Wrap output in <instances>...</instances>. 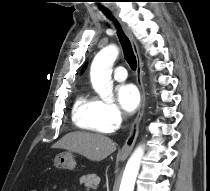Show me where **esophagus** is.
Masks as SVG:
<instances>
[{
	"label": "esophagus",
	"mask_w": 210,
	"mask_h": 191,
	"mask_svg": "<svg viewBox=\"0 0 210 191\" xmlns=\"http://www.w3.org/2000/svg\"><path fill=\"white\" fill-rule=\"evenodd\" d=\"M119 22L121 24V27H122L124 33L129 38L132 48H133V51H134V54L136 56V62H137L136 82H137V85H138V88H139V91L141 94V102H140V108H139L138 114H137L134 122L131 125L130 134H129L125 144L123 145V147L121 148V150L118 153L119 156H128L134 147V144L136 142V139H137V136L139 133V124H140L141 118L144 114L146 95H145V88H144V84H143V62L141 60L137 42H136L132 32L130 31V29L121 21H119Z\"/></svg>",
	"instance_id": "34e87169"
}]
</instances>
